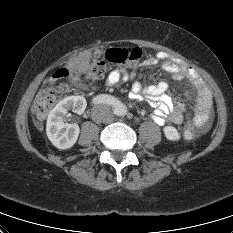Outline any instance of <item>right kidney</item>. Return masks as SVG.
<instances>
[{"label": "right kidney", "mask_w": 233, "mask_h": 233, "mask_svg": "<svg viewBox=\"0 0 233 233\" xmlns=\"http://www.w3.org/2000/svg\"><path fill=\"white\" fill-rule=\"evenodd\" d=\"M87 106L82 96H69L61 100L49 113L46 125L48 139L58 149L71 148L77 141L80 128L77 124L64 123L68 111L83 114Z\"/></svg>", "instance_id": "obj_1"}]
</instances>
